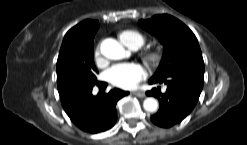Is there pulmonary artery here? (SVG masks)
Returning <instances> with one entry per match:
<instances>
[{
    "mask_svg": "<svg viewBox=\"0 0 247 145\" xmlns=\"http://www.w3.org/2000/svg\"><path fill=\"white\" fill-rule=\"evenodd\" d=\"M128 47H130V48L136 50V49H138L140 46H139L138 43L132 42Z\"/></svg>",
    "mask_w": 247,
    "mask_h": 145,
    "instance_id": "pulmonary-artery-1",
    "label": "pulmonary artery"
}]
</instances>
